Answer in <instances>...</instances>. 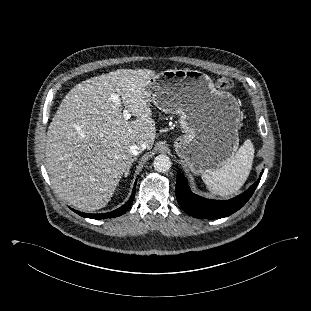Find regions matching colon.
<instances>
[{
	"label": "colon",
	"instance_id": "5ec220e1",
	"mask_svg": "<svg viewBox=\"0 0 311 311\" xmlns=\"http://www.w3.org/2000/svg\"><path fill=\"white\" fill-rule=\"evenodd\" d=\"M233 86V82L228 78H220L217 80V87L223 90L230 89Z\"/></svg>",
	"mask_w": 311,
	"mask_h": 311
}]
</instances>
